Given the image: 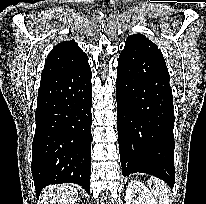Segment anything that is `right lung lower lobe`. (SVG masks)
Here are the masks:
<instances>
[{
  "label": "right lung lower lobe",
  "mask_w": 206,
  "mask_h": 204,
  "mask_svg": "<svg viewBox=\"0 0 206 204\" xmlns=\"http://www.w3.org/2000/svg\"><path fill=\"white\" fill-rule=\"evenodd\" d=\"M91 77L87 59L41 78L32 145V176L38 196L49 184L69 182L90 192Z\"/></svg>",
  "instance_id": "1"
}]
</instances>
